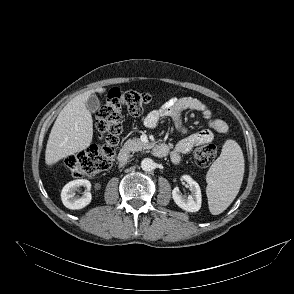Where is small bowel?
Wrapping results in <instances>:
<instances>
[{
	"mask_svg": "<svg viewBox=\"0 0 294 294\" xmlns=\"http://www.w3.org/2000/svg\"><path fill=\"white\" fill-rule=\"evenodd\" d=\"M186 110L200 112L210 129L185 136L179 141L170 154L171 161L174 164H179L182 156L190 152L197 144L212 141L214 132L225 134L228 130V126L223 120L213 117L211 110L202 101L193 97L168 99L161 103L157 109L149 112L143 118V124L148 128H155L162 118L169 117L175 122L180 133L185 135L187 129L182 123V113Z\"/></svg>",
	"mask_w": 294,
	"mask_h": 294,
	"instance_id": "1",
	"label": "small bowel"
}]
</instances>
